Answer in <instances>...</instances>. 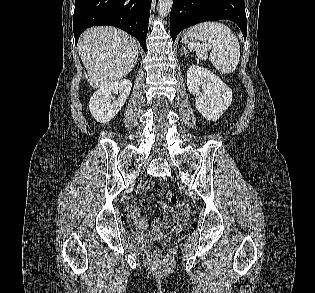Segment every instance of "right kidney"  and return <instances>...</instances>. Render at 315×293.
Returning <instances> with one entry per match:
<instances>
[{
  "mask_svg": "<svg viewBox=\"0 0 315 293\" xmlns=\"http://www.w3.org/2000/svg\"><path fill=\"white\" fill-rule=\"evenodd\" d=\"M131 88L132 83L126 79L100 87L89 101V109L94 119L100 123L113 119L125 104ZM112 93L118 97L115 98Z\"/></svg>",
  "mask_w": 315,
  "mask_h": 293,
  "instance_id": "right-kidney-1",
  "label": "right kidney"
}]
</instances>
